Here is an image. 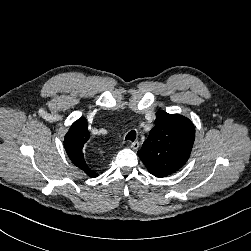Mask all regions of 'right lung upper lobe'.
I'll return each instance as SVG.
<instances>
[{
	"instance_id": "cb5924a9",
	"label": "right lung upper lobe",
	"mask_w": 251,
	"mask_h": 251,
	"mask_svg": "<svg viewBox=\"0 0 251 251\" xmlns=\"http://www.w3.org/2000/svg\"><path fill=\"white\" fill-rule=\"evenodd\" d=\"M89 138L88 123L84 117H81L71 125L65 136L64 144L66 152L73 164L83 170L88 176L94 178L97 177L98 174L89 167L82 152Z\"/></svg>"
}]
</instances>
